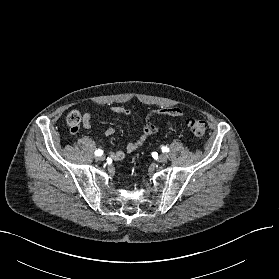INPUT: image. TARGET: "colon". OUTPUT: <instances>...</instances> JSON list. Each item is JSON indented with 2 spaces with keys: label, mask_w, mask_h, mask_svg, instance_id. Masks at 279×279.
Listing matches in <instances>:
<instances>
[{
  "label": "colon",
  "mask_w": 279,
  "mask_h": 279,
  "mask_svg": "<svg viewBox=\"0 0 279 279\" xmlns=\"http://www.w3.org/2000/svg\"><path fill=\"white\" fill-rule=\"evenodd\" d=\"M67 124L71 130V132L76 133L79 130L80 123H81V115L77 111H72L67 115L66 118ZM186 125L188 129L195 135V136H203L206 131V123L203 120L189 118L186 121Z\"/></svg>",
  "instance_id": "colon-1"
}]
</instances>
